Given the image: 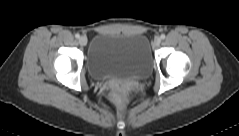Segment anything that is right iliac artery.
Instances as JSON below:
<instances>
[{
  "label": "right iliac artery",
  "mask_w": 239,
  "mask_h": 136,
  "mask_svg": "<svg viewBox=\"0 0 239 136\" xmlns=\"http://www.w3.org/2000/svg\"><path fill=\"white\" fill-rule=\"evenodd\" d=\"M75 37H76V38H80V35L77 33V34L75 35Z\"/></svg>",
  "instance_id": "right-iliac-artery-1"
}]
</instances>
